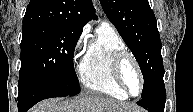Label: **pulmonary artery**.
<instances>
[{
  "mask_svg": "<svg viewBox=\"0 0 193 112\" xmlns=\"http://www.w3.org/2000/svg\"><path fill=\"white\" fill-rule=\"evenodd\" d=\"M102 25H109L110 26V24L108 22H104Z\"/></svg>",
  "mask_w": 193,
  "mask_h": 112,
  "instance_id": "obj_1",
  "label": "pulmonary artery"
}]
</instances>
